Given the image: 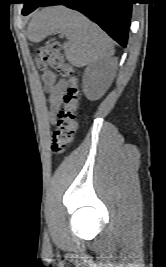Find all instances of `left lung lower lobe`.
Instances as JSON below:
<instances>
[{
    "label": "left lung lower lobe",
    "mask_w": 166,
    "mask_h": 267,
    "mask_svg": "<svg viewBox=\"0 0 166 267\" xmlns=\"http://www.w3.org/2000/svg\"><path fill=\"white\" fill-rule=\"evenodd\" d=\"M133 0H25L23 15L49 4H63L82 12L115 41L126 47Z\"/></svg>",
    "instance_id": "0a47b994"
}]
</instances>
